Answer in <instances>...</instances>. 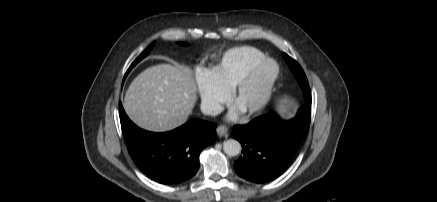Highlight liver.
Wrapping results in <instances>:
<instances>
[{"label": "liver", "mask_w": 437, "mask_h": 202, "mask_svg": "<svg viewBox=\"0 0 437 202\" xmlns=\"http://www.w3.org/2000/svg\"><path fill=\"white\" fill-rule=\"evenodd\" d=\"M192 71L159 64L141 72L128 87L124 109L139 127L164 132L185 123L197 99Z\"/></svg>", "instance_id": "obj_1"}]
</instances>
